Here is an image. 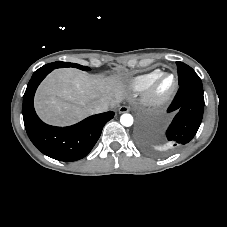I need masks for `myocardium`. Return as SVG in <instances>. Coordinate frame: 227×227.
<instances>
[{
    "label": "myocardium",
    "instance_id": "obj_1",
    "mask_svg": "<svg viewBox=\"0 0 227 227\" xmlns=\"http://www.w3.org/2000/svg\"><path fill=\"white\" fill-rule=\"evenodd\" d=\"M170 78L171 82L167 87H163L166 78ZM177 77L170 72H161V74L147 88L146 99L153 105H160L169 100L177 89Z\"/></svg>",
    "mask_w": 227,
    "mask_h": 227
}]
</instances>
